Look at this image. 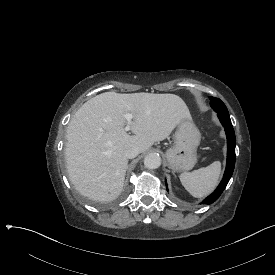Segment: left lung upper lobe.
Returning <instances> with one entry per match:
<instances>
[{
	"label": "left lung upper lobe",
	"mask_w": 275,
	"mask_h": 275,
	"mask_svg": "<svg viewBox=\"0 0 275 275\" xmlns=\"http://www.w3.org/2000/svg\"><path fill=\"white\" fill-rule=\"evenodd\" d=\"M211 107L217 112V113H223V114H229L226 106L224 103L215 97H209Z\"/></svg>",
	"instance_id": "5c2ea615"
}]
</instances>
